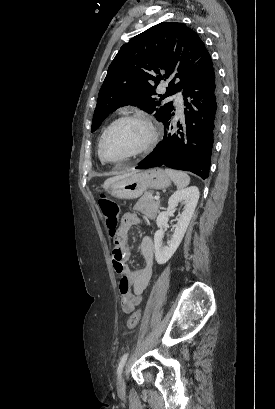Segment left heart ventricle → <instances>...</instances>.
Wrapping results in <instances>:
<instances>
[{
    "label": "left heart ventricle",
    "mask_w": 275,
    "mask_h": 409,
    "mask_svg": "<svg viewBox=\"0 0 275 409\" xmlns=\"http://www.w3.org/2000/svg\"><path fill=\"white\" fill-rule=\"evenodd\" d=\"M145 130L135 122L117 124L107 136L103 145L105 157H122L135 149L144 139Z\"/></svg>",
    "instance_id": "1"
}]
</instances>
